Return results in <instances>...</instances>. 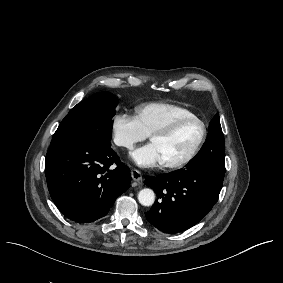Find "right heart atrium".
<instances>
[{
  "mask_svg": "<svg viewBox=\"0 0 283 283\" xmlns=\"http://www.w3.org/2000/svg\"><path fill=\"white\" fill-rule=\"evenodd\" d=\"M110 135L115 146L125 149H131L135 143L148 137L139 117L127 112H115L112 115Z\"/></svg>",
  "mask_w": 283,
  "mask_h": 283,
  "instance_id": "1",
  "label": "right heart atrium"
}]
</instances>
